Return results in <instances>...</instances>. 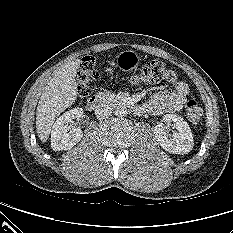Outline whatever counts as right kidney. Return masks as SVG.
<instances>
[{"instance_id":"1","label":"right kidney","mask_w":233,"mask_h":233,"mask_svg":"<svg viewBox=\"0 0 233 233\" xmlns=\"http://www.w3.org/2000/svg\"><path fill=\"white\" fill-rule=\"evenodd\" d=\"M83 117L82 108H74L61 115L53 125L51 131V148L55 151L69 150L82 138L83 132L80 128L70 125L73 119Z\"/></svg>"}]
</instances>
